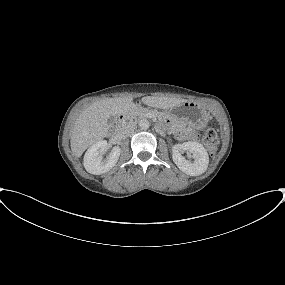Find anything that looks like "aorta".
Here are the masks:
<instances>
[{
	"label": "aorta",
	"mask_w": 285,
	"mask_h": 285,
	"mask_svg": "<svg viewBox=\"0 0 285 285\" xmlns=\"http://www.w3.org/2000/svg\"><path fill=\"white\" fill-rule=\"evenodd\" d=\"M139 127L142 129V130H147L149 127H150V123L148 120L146 119H141L139 121Z\"/></svg>",
	"instance_id": "762f6f07"
}]
</instances>
